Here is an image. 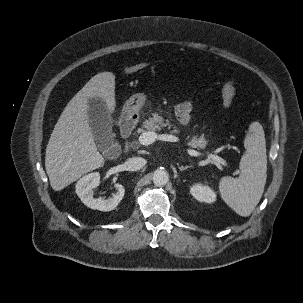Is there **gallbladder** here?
<instances>
[{
    "mask_svg": "<svg viewBox=\"0 0 303 303\" xmlns=\"http://www.w3.org/2000/svg\"><path fill=\"white\" fill-rule=\"evenodd\" d=\"M90 125L97 145L106 151L105 142L113 141V120L107 113L105 105L98 98L89 101Z\"/></svg>",
    "mask_w": 303,
    "mask_h": 303,
    "instance_id": "gallbladder-1",
    "label": "gallbladder"
}]
</instances>
